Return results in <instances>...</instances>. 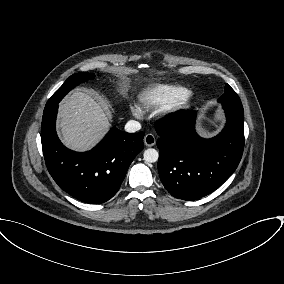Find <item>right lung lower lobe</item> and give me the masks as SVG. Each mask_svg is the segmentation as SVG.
I'll return each mask as SVG.
<instances>
[{
	"label": "right lung lower lobe",
	"instance_id": "right-lung-lower-lobe-1",
	"mask_svg": "<svg viewBox=\"0 0 284 284\" xmlns=\"http://www.w3.org/2000/svg\"><path fill=\"white\" fill-rule=\"evenodd\" d=\"M58 103L43 112L41 142L46 166L59 187L86 203L100 204L119 190L126 172L144 148V133L112 128L87 152L67 149L58 139L55 121Z\"/></svg>",
	"mask_w": 284,
	"mask_h": 284
}]
</instances>
